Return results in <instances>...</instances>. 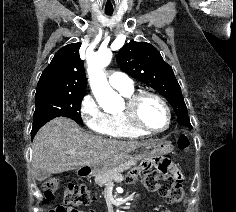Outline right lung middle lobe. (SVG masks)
Here are the masks:
<instances>
[{"instance_id":"dd1d6c3e","label":"right lung middle lobe","mask_w":236,"mask_h":212,"mask_svg":"<svg viewBox=\"0 0 236 212\" xmlns=\"http://www.w3.org/2000/svg\"><path fill=\"white\" fill-rule=\"evenodd\" d=\"M84 94H51L36 99L33 127L31 137L34 138L37 131L49 120L64 116L73 119L78 124H83L80 107Z\"/></svg>"}]
</instances>
